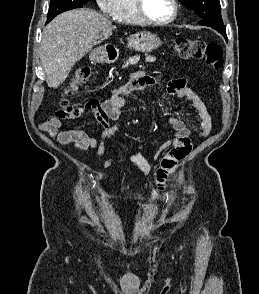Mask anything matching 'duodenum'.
<instances>
[{"label":"duodenum","mask_w":259,"mask_h":294,"mask_svg":"<svg viewBox=\"0 0 259 294\" xmlns=\"http://www.w3.org/2000/svg\"><path fill=\"white\" fill-rule=\"evenodd\" d=\"M105 58L112 61L115 59V55L108 52V50L105 52Z\"/></svg>","instance_id":"duodenum-1"}]
</instances>
